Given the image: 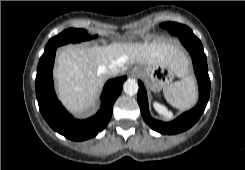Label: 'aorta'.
Here are the masks:
<instances>
[{
  "instance_id": "obj_1",
  "label": "aorta",
  "mask_w": 245,
  "mask_h": 170,
  "mask_svg": "<svg viewBox=\"0 0 245 170\" xmlns=\"http://www.w3.org/2000/svg\"><path fill=\"white\" fill-rule=\"evenodd\" d=\"M138 89H139L138 83L134 79H128L127 81H125L123 85V90L128 95L137 94Z\"/></svg>"
}]
</instances>
